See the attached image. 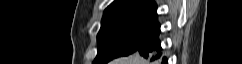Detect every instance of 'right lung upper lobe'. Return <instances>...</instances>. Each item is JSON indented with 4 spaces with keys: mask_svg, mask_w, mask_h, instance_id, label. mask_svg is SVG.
I'll return each mask as SVG.
<instances>
[{
    "mask_svg": "<svg viewBox=\"0 0 242 64\" xmlns=\"http://www.w3.org/2000/svg\"><path fill=\"white\" fill-rule=\"evenodd\" d=\"M154 0H115L104 11L103 18L121 13H156Z\"/></svg>",
    "mask_w": 242,
    "mask_h": 64,
    "instance_id": "1",
    "label": "right lung upper lobe"
}]
</instances>
